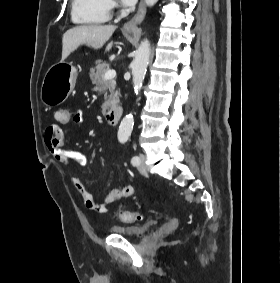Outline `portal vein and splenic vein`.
Here are the masks:
<instances>
[{"label":"portal vein and splenic vein","instance_id":"obj_1","mask_svg":"<svg viewBox=\"0 0 280 283\" xmlns=\"http://www.w3.org/2000/svg\"><path fill=\"white\" fill-rule=\"evenodd\" d=\"M116 76V71L114 69H109L105 75H104V80H110L115 78Z\"/></svg>","mask_w":280,"mask_h":283}]
</instances>
